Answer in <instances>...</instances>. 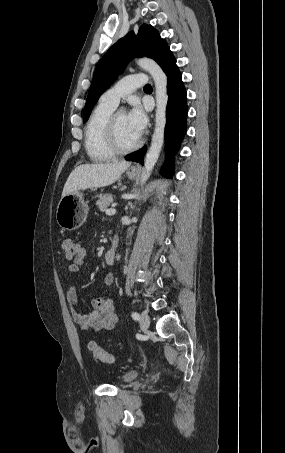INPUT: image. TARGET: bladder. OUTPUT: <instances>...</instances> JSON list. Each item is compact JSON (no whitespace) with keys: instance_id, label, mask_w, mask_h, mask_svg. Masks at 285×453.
Masks as SVG:
<instances>
[{"instance_id":"1","label":"bladder","mask_w":285,"mask_h":453,"mask_svg":"<svg viewBox=\"0 0 285 453\" xmlns=\"http://www.w3.org/2000/svg\"><path fill=\"white\" fill-rule=\"evenodd\" d=\"M139 375V372L136 370H129L126 371L122 376L120 377V382L121 383H127L132 380H134L137 376Z\"/></svg>"}]
</instances>
